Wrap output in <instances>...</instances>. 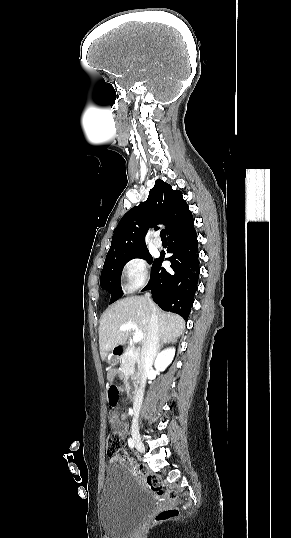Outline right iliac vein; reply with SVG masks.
I'll list each match as a JSON object with an SVG mask.
<instances>
[{"label": "right iliac vein", "instance_id": "right-iliac-vein-1", "mask_svg": "<svg viewBox=\"0 0 291 538\" xmlns=\"http://www.w3.org/2000/svg\"><path fill=\"white\" fill-rule=\"evenodd\" d=\"M131 434H132V439H133L136 449L139 452H145V446L141 441L140 434H139V427L137 423L132 424Z\"/></svg>", "mask_w": 291, "mask_h": 538}]
</instances>
